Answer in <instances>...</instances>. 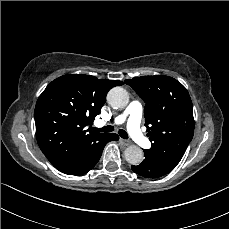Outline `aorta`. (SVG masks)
<instances>
[{"label":"aorta","mask_w":229,"mask_h":229,"mask_svg":"<svg viewBox=\"0 0 229 229\" xmlns=\"http://www.w3.org/2000/svg\"><path fill=\"white\" fill-rule=\"evenodd\" d=\"M108 104L114 109H123L129 103L128 92L122 87L112 88L107 95ZM125 160L132 165H139L144 158L143 150L136 145H129L124 151Z\"/></svg>","instance_id":"aorta-1"}]
</instances>
